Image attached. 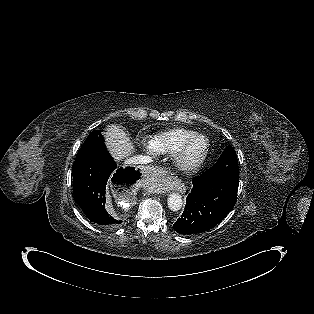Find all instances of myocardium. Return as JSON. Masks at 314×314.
Instances as JSON below:
<instances>
[{
  "instance_id": "1",
  "label": "myocardium",
  "mask_w": 314,
  "mask_h": 314,
  "mask_svg": "<svg viewBox=\"0 0 314 314\" xmlns=\"http://www.w3.org/2000/svg\"><path fill=\"white\" fill-rule=\"evenodd\" d=\"M196 142L202 143V149L193 152V145ZM210 144L208 139L202 134H196L189 138L174 155L175 166L182 171H193L198 169L206 160L209 154Z\"/></svg>"
}]
</instances>
